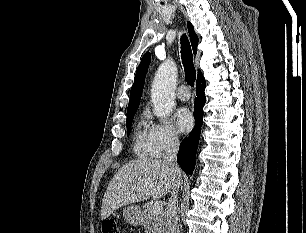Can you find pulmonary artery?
Segmentation results:
<instances>
[{"label": "pulmonary artery", "instance_id": "1", "mask_svg": "<svg viewBox=\"0 0 306 233\" xmlns=\"http://www.w3.org/2000/svg\"><path fill=\"white\" fill-rule=\"evenodd\" d=\"M176 96H177L178 99H180L182 101H187V100L190 99L191 94H190L187 86L181 85L176 90Z\"/></svg>", "mask_w": 306, "mask_h": 233}]
</instances>
